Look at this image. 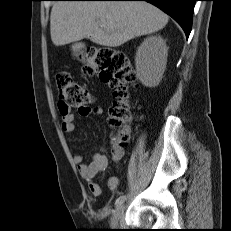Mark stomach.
Wrapping results in <instances>:
<instances>
[{
	"mask_svg": "<svg viewBox=\"0 0 231 231\" xmlns=\"http://www.w3.org/2000/svg\"><path fill=\"white\" fill-rule=\"evenodd\" d=\"M74 50H76L77 48H78V45L77 44H75V45H73V47H72Z\"/></svg>",
	"mask_w": 231,
	"mask_h": 231,
	"instance_id": "1",
	"label": "stomach"
}]
</instances>
